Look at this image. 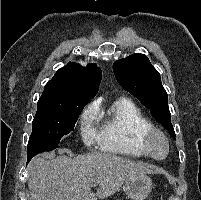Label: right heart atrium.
Returning <instances> with one entry per match:
<instances>
[{"label":"right heart atrium","mask_w":201,"mask_h":200,"mask_svg":"<svg viewBox=\"0 0 201 200\" xmlns=\"http://www.w3.org/2000/svg\"><path fill=\"white\" fill-rule=\"evenodd\" d=\"M97 114L93 107L86 109L81 116V135L87 145L94 144L98 139V132L94 122Z\"/></svg>","instance_id":"obj_1"}]
</instances>
